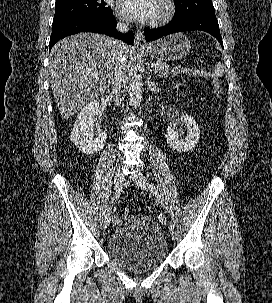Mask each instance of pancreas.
I'll use <instances>...</instances> for the list:
<instances>
[{"label": "pancreas", "instance_id": "cf45deb5", "mask_svg": "<svg viewBox=\"0 0 272 303\" xmlns=\"http://www.w3.org/2000/svg\"><path fill=\"white\" fill-rule=\"evenodd\" d=\"M156 67H159L160 68V76L161 77H168L169 75V65H167L166 63L162 62V61H159L156 63ZM180 74V73H190V70L189 69H185V70H181L180 68H177L175 70V74Z\"/></svg>", "mask_w": 272, "mask_h": 303}]
</instances>
